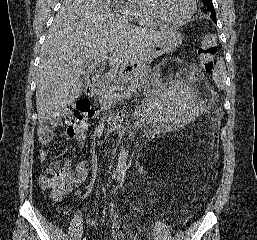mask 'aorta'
<instances>
[{
  "mask_svg": "<svg viewBox=\"0 0 257 240\" xmlns=\"http://www.w3.org/2000/svg\"><path fill=\"white\" fill-rule=\"evenodd\" d=\"M127 156H128V151L124 147H122L121 152L118 155V163H117V177L118 179H121V180H124L126 177Z\"/></svg>",
  "mask_w": 257,
  "mask_h": 240,
  "instance_id": "aorta-1",
  "label": "aorta"
}]
</instances>
